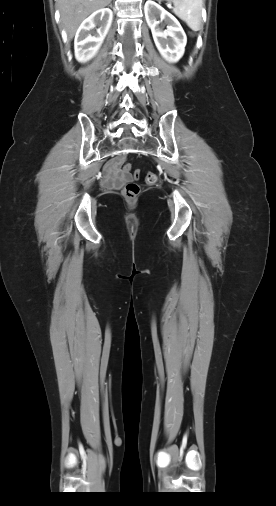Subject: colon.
Segmentation results:
<instances>
[{"label": "colon", "mask_w": 276, "mask_h": 506, "mask_svg": "<svg viewBox=\"0 0 276 506\" xmlns=\"http://www.w3.org/2000/svg\"><path fill=\"white\" fill-rule=\"evenodd\" d=\"M122 169L124 171L128 172L131 170V165L126 163L122 166ZM140 174H141V171L139 169L135 170L134 174H133L134 181H129L123 189V196L129 201H134L139 194V186L135 182V180H137L140 177ZM158 181H159V178L156 173L148 172L146 174V182L148 184H156V183H158Z\"/></svg>", "instance_id": "colon-1"}]
</instances>
